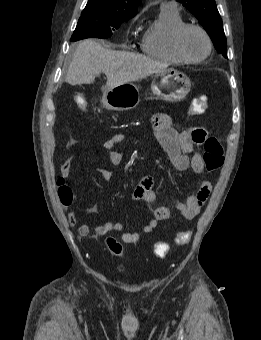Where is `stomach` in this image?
I'll return each mask as SVG.
<instances>
[{
    "instance_id": "1",
    "label": "stomach",
    "mask_w": 261,
    "mask_h": 340,
    "mask_svg": "<svg viewBox=\"0 0 261 340\" xmlns=\"http://www.w3.org/2000/svg\"><path fill=\"white\" fill-rule=\"evenodd\" d=\"M190 89L191 80L189 77L172 68L156 73L151 83L153 96L168 102L183 100ZM139 101V88L131 82L103 90L102 104L109 110H131L138 105Z\"/></svg>"
}]
</instances>
